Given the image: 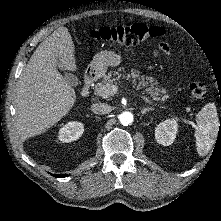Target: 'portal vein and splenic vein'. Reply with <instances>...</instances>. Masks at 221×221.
I'll return each instance as SVG.
<instances>
[{"instance_id":"portal-vein-and-splenic-vein-1","label":"portal vein and splenic vein","mask_w":221,"mask_h":221,"mask_svg":"<svg viewBox=\"0 0 221 221\" xmlns=\"http://www.w3.org/2000/svg\"><path fill=\"white\" fill-rule=\"evenodd\" d=\"M118 90H119V87H118V86L112 85V86L110 87L109 93H110V95H113V94H115ZM139 96H140L145 102H147V103H149V104H152V101H151L149 98H147L146 96H144L143 94H139Z\"/></svg>"}]
</instances>
